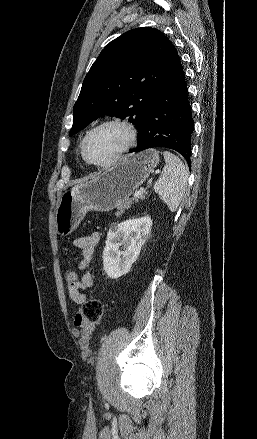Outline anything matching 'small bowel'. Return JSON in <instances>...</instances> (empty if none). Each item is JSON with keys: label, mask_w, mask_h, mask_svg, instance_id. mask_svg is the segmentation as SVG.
<instances>
[{"label": "small bowel", "mask_w": 257, "mask_h": 439, "mask_svg": "<svg viewBox=\"0 0 257 439\" xmlns=\"http://www.w3.org/2000/svg\"><path fill=\"white\" fill-rule=\"evenodd\" d=\"M99 240V233L94 232L88 236L79 237L73 242V245L81 250V256L78 261L80 275H78V280L74 285L68 286V291L71 300L77 305H80L86 299L83 291L93 286V276L88 269L92 263L95 247ZM93 330L94 325L85 322L79 312L75 317L73 335L78 339L81 348L87 349L89 347Z\"/></svg>", "instance_id": "small-bowel-1"}]
</instances>
